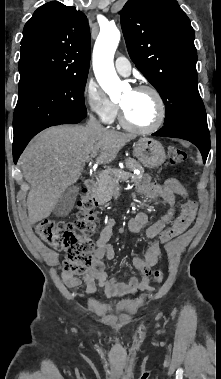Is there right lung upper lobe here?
<instances>
[{
	"instance_id": "1",
	"label": "right lung upper lobe",
	"mask_w": 221,
	"mask_h": 379,
	"mask_svg": "<svg viewBox=\"0 0 221 379\" xmlns=\"http://www.w3.org/2000/svg\"><path fill=\"white\" fill-rule=\"evenodd\" d=\"M19 86L67 76H87L90 31L84 13L52 1L39 7L23 29Z\"/></svg>"
}]
</instances>
